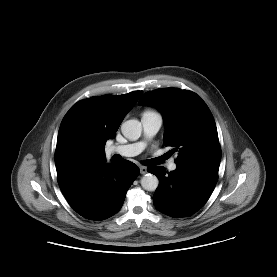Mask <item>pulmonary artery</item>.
<instances>
[{
  "label": "pulmonary artery",
  "instance_id": "obj_1",
  "mask_svg": "<svg viewBox=\"0 0 277 277\" xmlns=\"http://www.w3.org/2000/svg\"><path fill=\"white\" fill-rule=\"evenodd\" d=\"M141 123L145 140L126 145L111 146L107 150L108 154H119L121 156L131 157L141 153L146 147V141L151 139L159 131L162 125V118L157 113H144L141 117ZM176 168V162L174 160L170 161L168 169L174 171Z\"/></svg>",
  "mask_w": 277,
  "mask_h": 277
}]
</instances>
